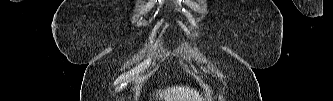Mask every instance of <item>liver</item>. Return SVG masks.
I'll list each match as a JSON object with an SVG mask.
<instances>
[{
    "label": "liver",
    "instance_id": "obj_1",
    "mask_svg": "<svg viewBox=\"0 0 333 101\" xmlns=\"http://www.w3.org/2000/svg\"><path fill=\"white\" fill-rule=\"evenodd\" d=\"M159 96L164 101H202V98L195 90L184 86L168 87L163 91H159Z\"/></svg>",
    "mask_w": 333,
    "mask_h": 101
}]
</instances>
